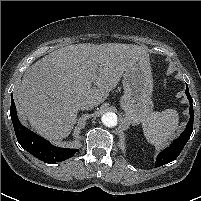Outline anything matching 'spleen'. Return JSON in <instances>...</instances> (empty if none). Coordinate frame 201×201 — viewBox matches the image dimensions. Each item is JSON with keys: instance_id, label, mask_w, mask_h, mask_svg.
<instances>
[{"instance_id": "1", "label": "spleen", "mask_w": 201, "mask_h": 201, "mask_svg": "<svg viewBox=\"0 0 201 201\" xmlns=\"http://www.w3.org/2000/svg\"><path fill=\"white\" fill-rule=\"evenodd\" d=\"M179 116L174 109L152 112L142 121L143 132L151 144L163 146L178 128Z\"/></svg>"}]
</instances>
